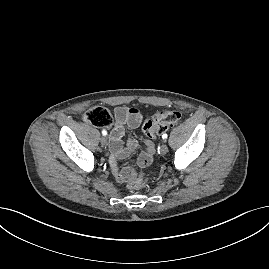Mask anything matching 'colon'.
Segmentation results:
<instances>
[{
  "mask_svg": "<svg viewBox=\"0 0 269 269\" xmlns=\"http://www.w3.org/2000/svg\"><path fill=\"white\" fill-rule=\"evenodd\" d=\"M181 114L175 110L157 112L143 125V132L148 138H154L160 133L172 128L180 120ZM85 121L97 127H108L112 124V116L108 109L102 106L89 108L83 115ZM149 175L134 176L129 181L131 189H140L148 182Z\"/></svg>",
  "mask_w": 269,
  "mask_h": 269,
  "instance_id": "colon-1",
  "label": "colon"
}]
</instances>
